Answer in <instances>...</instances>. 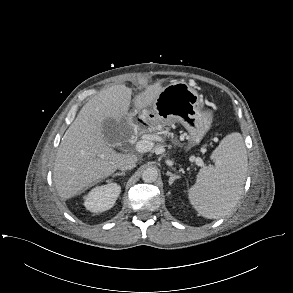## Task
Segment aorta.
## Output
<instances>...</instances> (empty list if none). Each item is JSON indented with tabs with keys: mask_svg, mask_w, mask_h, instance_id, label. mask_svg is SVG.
Returning <instances> with one entry per match:
<instances>
[{
	"mask_svg": "<svg viewBox=\"0 0 293 293\" xmlns=\"http://www.w3.org/2000/svg\"><path fill=\"white\" fill-rule=\"evenodd\" d=\"M158 178V172L154 167H148L142 172V180L147 183L155 182Z\"/></svg>",
	"mask_w": 293,
	"mask_h": 293,
	"instance_id": "aorta-1",
	"label": "aorta"
}]
</instances>
